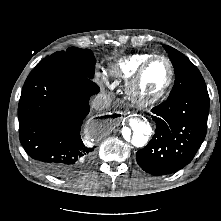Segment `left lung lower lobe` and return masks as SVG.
Returning a JSON list of instances; mask_svg holds the SVG:
<instances>
[{"mask_svg":"<svg viewBox=\"0 0 221 221\" xmlns=\"http://www.w3.org/2000/svg\"><path fill=\"white\" fill-rule=\"evenodd\" d=\"M155 134L139 150V166L152 175L176 172L194 158L206 136L209 114L207 88L193 89L152 109Z\"/></svg>","mask_w":221,"mask_h":221,"instance_id":"left-lung-lower-lobe-1","label":"left lung lower lobe"}]
</instances>
